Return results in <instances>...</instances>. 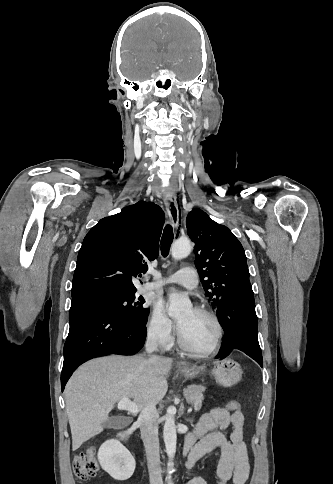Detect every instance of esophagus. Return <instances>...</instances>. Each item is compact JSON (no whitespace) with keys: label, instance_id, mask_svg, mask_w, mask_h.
<instances>
[{"label":"esophagus","instance_id":"34e87169","mask_svg":"<svg viewBox=\"0 0 333 484\" xmlns=\"http://www.w3.org/2000/svg\"><path fill=\"white\" fill-rule=\"evenodd\" d=\"M164 203L173 226L177 228L179 226L180 218L176 196L172 194H166L164 196Z\"/></svg>","mask_w":333,"mask_h":484}]
</instances>
